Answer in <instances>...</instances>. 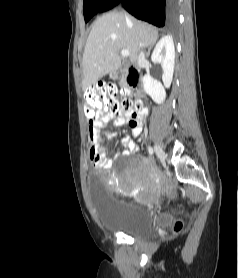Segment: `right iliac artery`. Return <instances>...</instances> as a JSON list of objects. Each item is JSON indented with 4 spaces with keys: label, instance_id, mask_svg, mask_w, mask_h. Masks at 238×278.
I'll return each instance as SVG.
<instances>
[{
    "label": "right iliac artery",
    "instance_id": "right-iliac-artery-1",
    "mask_svg": "<svg viewBox=\"0 0 238 278\" xmlns=\"http://www.w3.org/2000/svg\"><path fill=\"white\" fill-rule=\"evenodd\" d=\"M148 152H149L150 155L153 154V148L151 146L148 147Z\"/></svg>",
    "mask_w": 238,
    "mask_h": 278
}]
</instances>
